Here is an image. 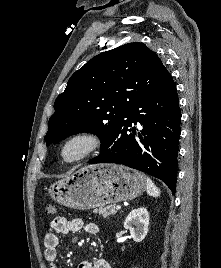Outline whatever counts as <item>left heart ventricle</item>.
Returning <instances> with one entry per match:
<instances>
[{"label":"left heart ventricle","instance_id":"obj_1","mask_svg":"<svg viewBox=\"0 0 221 268\" xmlns=\"http://www.w3.org/2000/svg\"><path fill=\"white\" fill-rule=\"evenodd\" d=\"M78 149H79V145H78V144H74V145H72V146L69 148L68 153H69V154H73V153H75Z\"/></svg>","mask_w":221,"mask_h":268}]
</instances>
